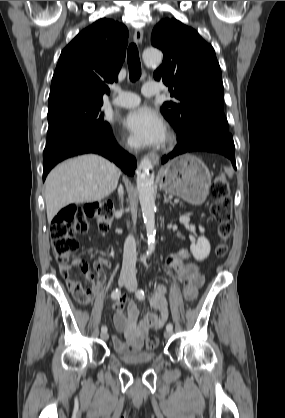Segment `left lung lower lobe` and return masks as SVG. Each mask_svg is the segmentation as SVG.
<instances>
[{
	"mask_svg": "<svg viewBox=\"0 0 285 418\" xmlns=\"http://www.w3.org/2000/svg\"><path fill=\"white\" fill-rule=\"evenodd\" d=\"M192 151L220 153L229 158L234 168H236L235 146L232 135L227 131L215 128L200 130L189 138L178 142L171 153L162 157L161 163L164 164L178 155Z\"/></svg>",
	"mask_w": 285,
	"mask_h": 418,
	"instance_id": "left-lung-lower-lobe-1",
	"label": "left lung lower lobe"
}]
</instances>
